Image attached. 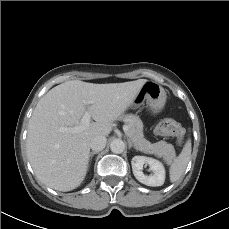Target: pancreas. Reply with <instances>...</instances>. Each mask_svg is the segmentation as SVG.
Returning a JSON list of instances; mask_svg holds the SVG:
<instances>
[{
  "label": "pancreas",
  "instance_id": "pancreas-1",
  "mask_svg": "<svg viewBox=\"0 0 229 229\" xmlns=\"http://www.w3.org/2000/svg\"><path fill=\"white\" fill-rule=\"evenodd\" d=\"M129 130L127 136L133 143L134 147L146 154H154L157 157H162L168 163L175 157V149L172 144L166 141H159L152 144L145 139L143 134V123L141 119L132 114H127L122 117Z\"/></svg>",
  "mask_w": 229,
  "mask_h": 229
}]
</instances>
